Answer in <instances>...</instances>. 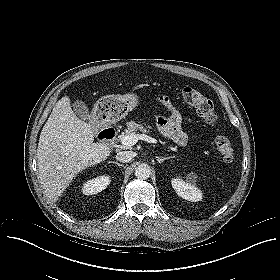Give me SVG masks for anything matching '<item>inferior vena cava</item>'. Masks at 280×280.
<instances>
[{
	"label": "inferior vena cava",
	"mask_w": 280,
	"mask_h": 280,
	"mask_svg": "<svg viewBox=\"0 0 280 280\" xmlns=\"http://www.w3.org/2000/svg\"><path fill=\"white\" fill-rule=\"evenodd\" d=\"M135 157V153L132 151H121L116 155V159L122 163L129 162Z\"/></svg>",
	"instance_id": "1"
}]
</instances>
